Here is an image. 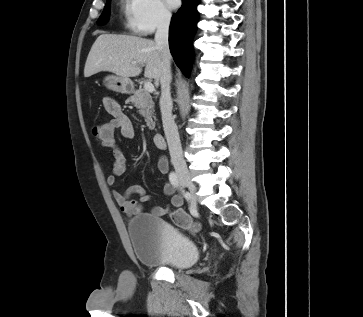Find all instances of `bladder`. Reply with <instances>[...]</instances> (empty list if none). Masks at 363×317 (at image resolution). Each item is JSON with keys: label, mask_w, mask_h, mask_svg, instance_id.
Here are the masks:
<instances>
[{"label": "bladder", "mask_w": 363, "mask_h": 317, "mask_svg": "<svg viewBox=\"0 0 363 317\" xmlns=\"http://www.w3.org/2000/svg\"><path fill=\"white\" fill-rule=\"evenodd\" d=\"M127 233L135 255L143 266L182 270L199 259L197 243L162 218L136 215L129 221Z\"/></svg>", "instance_id": "obj_1"}]
</instances>
